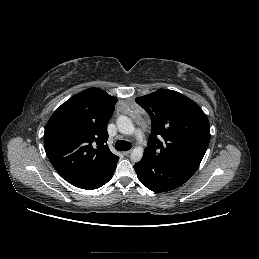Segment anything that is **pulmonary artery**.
I'll list each match as a JSON object with an SVG mask.
<instances>
[{"label": "pulmonary artery", "instance_id": "1", "mask_svg": "<svg viewBox=\"0 0 259 259\" xmlns=\"http://www.w3.org/2000/svg\"><path fill=\"white\" fill-rule=\"evenodd\" d=\"M137 138H138L140 141H142V133H141V131H138V132H137Z\"/></svg>", "mask_w": 259, "mask_h": 259}]
</instances>
